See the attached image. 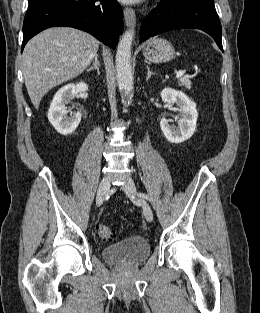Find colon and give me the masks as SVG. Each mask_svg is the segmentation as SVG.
Instances as JSON below:
<instances>
[{
  "mask_svg": "<svg viewBox=\"0 0 260 313\" xmlns=\"http://www.w3.org/2000/svg\"><path fill=\"white\" fill-rule=\"evenodd\" d=\"M97 232L98 235L100 236V238H102L103 240H112L114 238V233L111 230L110 227L106 226V225H99L97 227Z\"/></svg>",
  "mask_w": 260,
  "mask_h": 313,
  "instance_id": "1",
  "label": "colon"
}]
</instances>
